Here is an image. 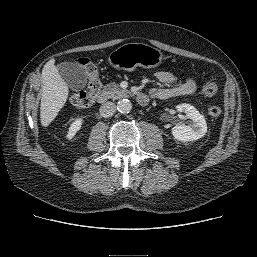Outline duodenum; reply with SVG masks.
<instances>
[{"instance_id": "1", "label": "duodenum", "mask_w": 257, "mask_h": 257, "mask_svg": "<svg viewBox=\"0 0 257 257\" xmlns=\"http://www.w3.org/2000/svg\"><path fill=\"white\" fill-rule=\"evenodd\" d=\"M136 98H137V102H138L140 105H142V106L147 105L148 102H149V97H148V95H146V94H144V93H138L137 96H136ZM97 100H98V102H99L100 104L105 103V102L107 101V94H106V93H101V94L98 96V99H97Z\"/></svg>"}]
</instances>
